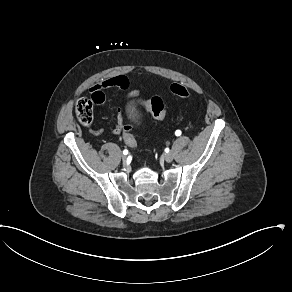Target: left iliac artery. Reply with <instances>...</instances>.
Wrapping results in <instances>:
<instances>
[{
	"label": "left iliac artery",
	"instance_id": "left-iliac-artery-1",
	"mask_svg": "<svg viewBox=\"0 0 292 292\" xmlns=\"http://www.w3.org/2000/svg\"><path fill=\"white\" fill-rule=\"evenodd\" d=\"M175 134H176L177 136H179V135H181V131H180V130H177V131L175 132Z\"/></svg>",
	"mask_w": 292,
	"mask_h": 292
}]
</instances>
